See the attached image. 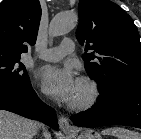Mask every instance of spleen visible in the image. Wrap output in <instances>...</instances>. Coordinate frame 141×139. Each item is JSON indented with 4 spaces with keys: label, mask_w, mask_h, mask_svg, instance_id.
Segmentation results:
<instances>
[{
    "label": "spleen",
    "mask_w": 141,
    "mask_h": 139,
    "mask_svg": "<svg viewBox=\"0 0 141 139\" xmlns=\"http://www.w3.org/2000/svg\"><path fill=\"white\" fill-rule=\"evenodd\" d=\"M102 134L111 135L117 139H141V134L138 132L120 127L107 128L102 131Z\"/></svg>",
    "instance_id": "1"
}]
</instances>
